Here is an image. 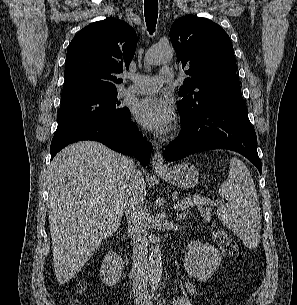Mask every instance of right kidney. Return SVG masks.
<instances>
[{"label": "right kidney", "mask_w": 297, "mask_h": 305, "mask_svg": "<svg viewBox=\"0 0 297 305\" xmlns=\"http://www.w3.org/2000/svg\"><path fill=\"white\" fill-rule=\"evenodd\" d=\"M123 267L122 258L116 252L109 251L101 264V281L108 287L115 286L122 275Z\"/></svg>", "instance_id": "ca27d5eb"}]
</instances>
